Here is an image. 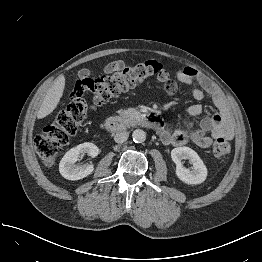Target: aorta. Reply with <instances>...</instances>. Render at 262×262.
<instances>
[{
	"instance_id": "1",
	"label": "aorta",
	"mask_w": 262,
	"mask_h": 262,
	"mask_svg": "<svg viewBox=\"0 0 262 262\" xmlns=\"http://www.w3.org/2000/svg\"><path fill=\"white\" fill-rule=\"evenodd\" d=\"M132 138L135 143H142L146 140V133L141 129H136L132 133Z\"/></svg>"
}]
</instances>
